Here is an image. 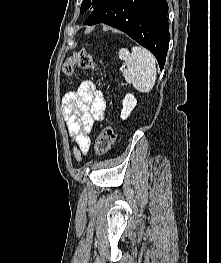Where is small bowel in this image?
<instances>
[{"mask_svg": "<svg viewBox=\"0 0 221 263\" xmlns=\"http://www.w3.org/2000/svg\"><path fill=\"white\" fill-rule=\"evenodd\" d=\"M61 103L69 136L74 144L72 155L76 162H80L89 151L93 124L105 117L106 102L93 82L83 81L76 91L66 93Z\"/></svg>", "mask_w": 221, "mask_h": 263, "instance_id": "1", "label": "small bowel"}]
</instances>
